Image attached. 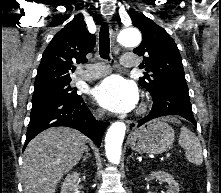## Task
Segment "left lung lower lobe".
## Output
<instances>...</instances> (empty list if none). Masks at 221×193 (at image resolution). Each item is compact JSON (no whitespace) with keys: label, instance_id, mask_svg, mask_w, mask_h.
Returning <instances> with one entry per match:
<instances>
[{"label":"left lung lower lobe","instance_id":"0a47b994","mask_svg":"<svg viewBox=\"0 0 221 193\" xmlns=\"http://www.w3.org/2000/svg\"><path fill=\"white\" fill-rule=\"evenodd\" d=\"M151 96L153 99L152 109L146 117L139 121L138 126L154 118L166 115L182 116L196 126L186 84L163 86L158 93Z\"/></svg>","mask_w":221,"mask_h":193}]
</instances>
